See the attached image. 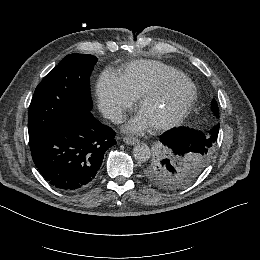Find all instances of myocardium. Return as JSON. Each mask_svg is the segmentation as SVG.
Wrapping results in <instances>:
<instances>
[{"label": "myocardium", "instance_id": "obj_1", "mask_svg": "<svg viewBox=\"0 0 260 260\" xmlns=\"http://www.w3.org/2000/svg\"><path fill=\"white\" fill-rule=\"evenodd\" d=\"M177 82H186L191 89L190 96L184 105L173 115L164 118L163 120L153 123L154 130H166L178 125L190 112L197 101L198 90L194 82L186 75L181 74L173 78H165L153 85L150 89L145 91L139 101V106L142 108L146 106L151 99L158 97L170 85Z\"/></svg>", "mask_w": 260, "mask_h": 260}]
</instances>
